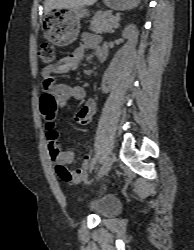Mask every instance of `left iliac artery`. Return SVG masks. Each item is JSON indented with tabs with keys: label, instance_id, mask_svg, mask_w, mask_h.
<instances>
[{
	"label": "left iliac artery",
	"instance_id": "44dca946",
	"mask_svg": "<svg viewBox=\"0 0 194 250\" xmlns=\"http://www.w3.org/2000/svg\"><path fill=\"white\" fill-rule=\"evenodd\" d=\"M97 158L94 157L91 163V170L94 168L95 164H96Z\"/></svg>",
	"mask_w": 194,
	"mask_h": 250
}]
</instances>
